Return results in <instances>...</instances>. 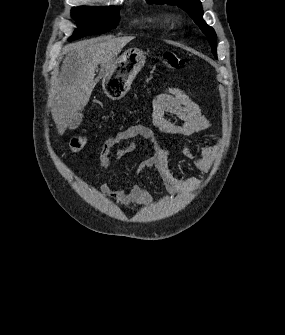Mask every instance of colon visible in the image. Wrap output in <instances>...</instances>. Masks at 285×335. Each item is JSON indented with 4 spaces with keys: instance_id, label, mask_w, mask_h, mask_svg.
Returning <instances> with one entry per match:
<instances>
[{
    "instance_id": "colon-1",
    "label": "colon",
    "mask_w": 285,
    "mask_h": 335,
    "mask_svg": "<svg viewBox=\"0 0 285 335\" xmlns=\"http://www.w3.org/2000/svg\"><path fill=\"white\" fill-rule=\"evenodd\" d=\"M162 67L166 70H179L185 65V61L173 52H165L159 57ZM87 138L83 134H76L70 141L71 152H79L86 144Z\"/></svg>"
}]
</instances>
